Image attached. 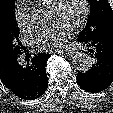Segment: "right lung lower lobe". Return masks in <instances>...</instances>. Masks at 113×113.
Here are the masks:
<instances>
[{
  "mask_svg": "<svg viewBox=\"0 0 113 113\" xmlns=\"http://www.w3.org/2000/svg\"><path fill=\"white\" fill-rule=\"evenodd\" d=\"M49 56L50 54L40 53L31 59L27 57L24 63L20 62L16 56L4 67L0 78L19 98L36 99L42 96L48 87L45 65Z\"/></svg>",
  "mask_w": 113,
  "mask_h": 113,
  "instance_id": "obj_1",
  "label": "right lung lower lobe"
}]
</instances>
